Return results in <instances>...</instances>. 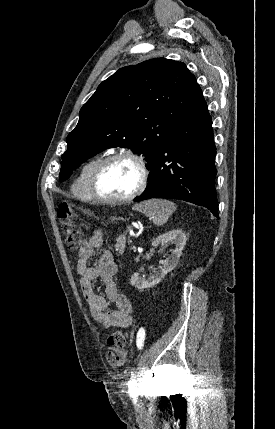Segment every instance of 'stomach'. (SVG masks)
<instances>
[{"label": "stomach", "instance_id": "obj_1", "mask_svg": "<svg viewBox=\"0 0 275 429\" xmlns=\"http://www.w3.org/2000/svg\"><path fill=\"white\" fill-rule=\"evenodd\" d=\"M81 211H83V213H84V214L91 215V213H90L89 211H87V210H83L82 208H81ZM115 220H117V218H116V217H112V218H111V221H115Z\"/></svg>", "mask_w": 275, "mask_h": 429}]
</instances>
